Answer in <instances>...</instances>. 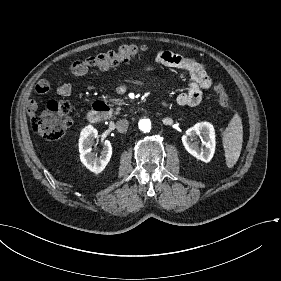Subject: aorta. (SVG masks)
Listing matches in <instances>:
<instances>
[{
    "label": "aorta",
    "instance_id": "762f6f07",
    "mask_svg": "<svg viewBox=\"0 0 281 281\" xmlns=\"http://www.w3.org/2000/svg\"><path fill=\"white\" fill-rule=\"evenodd\" d=\"M150 121L147 120V119H144L140 122L139 126H140V129L143 130L144 132H147L150 130Z\"/></svg>",
    "mask_w": 281,
    "mask_h": 281
}]
</instances>
